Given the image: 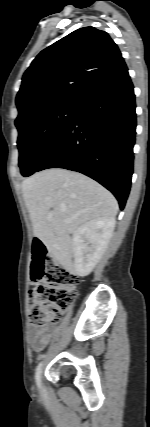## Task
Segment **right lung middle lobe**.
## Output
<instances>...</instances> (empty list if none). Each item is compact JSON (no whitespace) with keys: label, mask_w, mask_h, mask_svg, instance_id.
<instances>
[{"label":"right lung middle lobe","mask_w":150,"mask_h":427,"mask_svg":"<svg viewBox=\"0 0 150 427\" xmlns=\"http://www.w3.org/2000/svg\"><path fill=\"white\" fill-rule=\"evenodd\" d=\"M78 106L51 105L34 109L16 119L19 167L30 176L73 120Z\"/></svg>","instance_id":"dd1d6c3e"}]
</instances>
